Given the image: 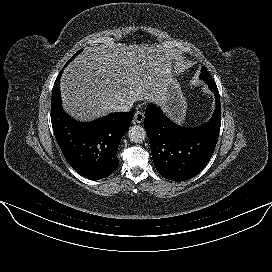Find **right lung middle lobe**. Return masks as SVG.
<instances>
[{
    "label": "right lung middle lobe",
    "mask_w": 272,
    "mask_h": 272,
    "mask_svg": "<svg viewBox=\"0 0 272 272\" xmlns=\"http://www.w3.org/2000/svg\"><path fill=\"white\" fill-rule=\"evenodd\" d=\"M81 51H82V50L78 51L75 55H73V57L68 61V63H69V62H70V61H71V60H72L79 52H81ZM68 63H67V64H68ZM67 64H66V65H67Z\"/></svg>",
    "instance_id": "obj_1"
}]
</instances>
